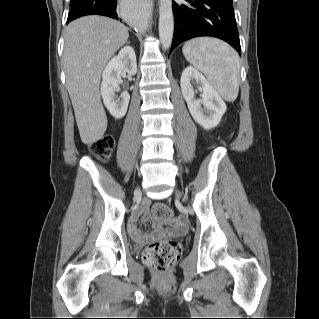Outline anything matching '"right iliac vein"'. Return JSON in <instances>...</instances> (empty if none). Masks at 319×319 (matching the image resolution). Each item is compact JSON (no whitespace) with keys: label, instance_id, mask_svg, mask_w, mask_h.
Returning a JSON list of instances; mask_svg holds the SVG:
<instances>
[{"label":"right iliac vein","instance_id":"obj_1","mask_svg":"<svg viewBox=\"0 0 319 319\" xmlns=\"http://www.w3.org/2000/svg\"><path fill=\"white\" fill-rule=\"evenodd\" d=\"M139 192H140V189L137 188V189L135 190V194H139Z\"/></svg>","mask_w":319,"mask_h":319}]
</instances>
